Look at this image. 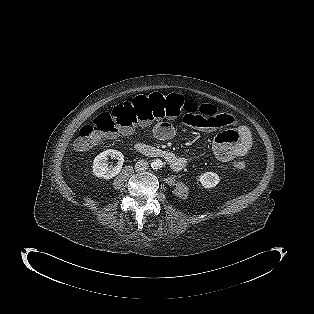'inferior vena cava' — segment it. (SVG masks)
Wrapping results in <instances>:
<instances>
[{"instance_id": "obj_1", "label": "inferior vena cava", "mask_w": 314, "mask_h": 314, "mask_svg": "<svg viewBox=\"0 0 314 314\" xmlns=\"http://www.w3.org/2000/svg\"><path fill=\"white\" fill-rule=\"evenodd\" d=\"M149 167V164L146 160L144 159H141V160H138L135 164V170L137 172H142V171H145L147 170Z\"/></svg>"}]
</instances>
